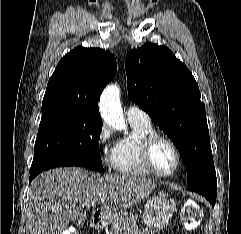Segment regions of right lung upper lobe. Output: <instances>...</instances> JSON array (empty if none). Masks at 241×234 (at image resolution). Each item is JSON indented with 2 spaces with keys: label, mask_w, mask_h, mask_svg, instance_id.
Here are the masks:
<instances>
[{
  "label": "right lung upper lobe",
  "mask_w": 241,
  "mask_h": 234,
  "mask_svg": "<svg viewBox=\"0 0 241 234\" xmlns=\"http://www.w3.org/2000/svg\"><path fill=\"white\" fill-rule=\"evenodd\" d=\"M116 71V60L109 52L76 47L60 60L49 79L42 108L67 107L102 120L98 100Z\"/></svg>",
  "instance_id": "1"
}]
</instances>
